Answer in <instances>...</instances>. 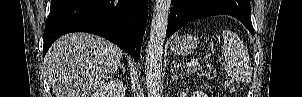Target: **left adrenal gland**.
Segmentation results:
<instances>
[{"label":"left adrenal gland","mask_w":302,"mask_h":97,"mask_svg":"<svg viewBox=\"0 0 302 97\" xmlns=\"http://www.w3.org/2000/svg\"><path fill=\"white\" fill-rule=\"evenodd\" d=\"M172 71V81L177 80L179 77H181L180 75H178V73H176V71H174V69H171Z\"/></svg>","instance_id":"a2214340"}]
</instances>
